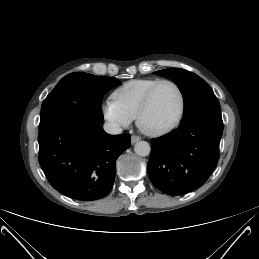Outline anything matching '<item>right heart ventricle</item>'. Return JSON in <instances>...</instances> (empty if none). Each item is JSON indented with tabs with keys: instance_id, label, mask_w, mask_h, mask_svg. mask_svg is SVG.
I'll list each match as a JSON object with an SVG mask.
<instances>
[{
	"instance_id": "obj_1",
	"label": "right heart ventricle",
	"mask_w": 259,
	"mask_h": 259,
	"mask_svg": "<svg viewBox=\"0 0 259 259\" xmlns=\"http://www.w3.org/2000/svg\"><path fill=\"white\" fill-rule=\"evenodd\" d=\"M158 80V78L130 80L114 91L113 98L127 116L135 119L144 96Z\"/></svg>"
}]
</instances>
